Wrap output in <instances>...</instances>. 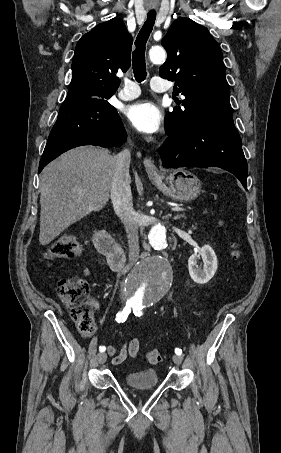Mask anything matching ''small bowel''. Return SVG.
<instances>
[{
	"instance_id": "obj_1",
	"label": "small bowel",
	"mask_w": 281,
	"mask_h": 453,
	"mask_svg": "<svg viewBox=\"0 0 281 453\" xmlns=\"http://www.w3.org/2000/svg\"><path fill=\"white\" fill-rule=\"evenodd\" d=\"M77 268H79L86 276H90L91 272L90 270L85 267L84 265L78 263L76 264ZM60 290L59 287L55 289V292L57 293ZM92 307L98 312L100 309L99 304L97 302H94L92 304ZM99 316L102 314L100 311L97 313ZM139 349V340L137 338H132L126 345H124L121 350L115 354V348L113 346H109L107 348V352L112 355V363L113 364H121L123 363L127 357H136Z\"/></svg>"
}]
</instances>
